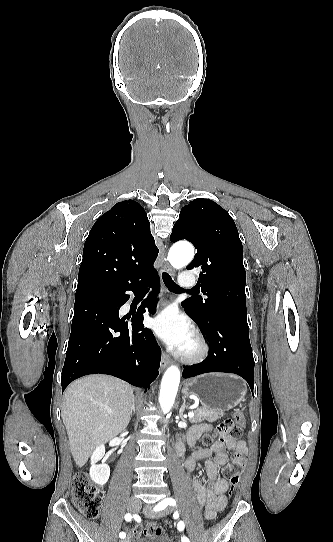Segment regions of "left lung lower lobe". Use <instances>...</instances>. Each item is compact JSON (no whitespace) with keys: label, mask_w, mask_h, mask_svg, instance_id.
Here are the masks:
<instances>
[{"label":"left lung lower lobe","mask_w":333,"mask_h":542,"mask_svg":"<svg viewBox=\"0 0 333 542\" xmlns=\"http://www.w3.org/2000/svg\"><path fill=\"white\" fill-rule=\"evenodd\" d=\"M202 331L209 342L208 356L199 364L185 367L183 377L190 378L208 372L234 373L244 378L253 392L254 359L247 315L221 313L211 327Z\"/></svg>","instance_id":"obj_1"}]
</instances>
